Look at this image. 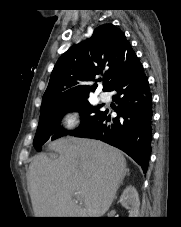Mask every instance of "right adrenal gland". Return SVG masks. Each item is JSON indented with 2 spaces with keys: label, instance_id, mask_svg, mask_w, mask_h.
Wrapping results in <instances>:
<instances>
[{
  "label": "right adrenal gland",
  "instance_id": "1",
  "mask_svg": "<svg viewBox=\"0 0 181 227\" xmlns=\"http://www.w3.org/2000/svg\"><path fill=\"white\" fill-rule=\"evenodd\" d=\"M126 172L129 174V169H127ZM121 184H122V183H121Z\"/></svg>",
  "mask_w": 181,
  "mask_h": 227
}]
</instances>
